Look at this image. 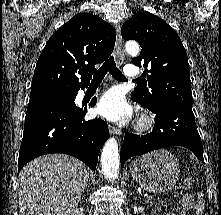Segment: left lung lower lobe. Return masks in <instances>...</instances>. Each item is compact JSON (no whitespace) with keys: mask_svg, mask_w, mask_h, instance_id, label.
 I'll list each match as a JSON object with an SVG mask.
<instances>
[{"mask_svg":"<svg viewBox=\"0 0 221 215\" xmlns=\"http://www.w3.org/2000/svg\"><path fill=\"white\" fill-rule=\"evenodd\" d=\"M149 110L156 114V125L151 133L143 136L125 134L120 153L122 166L131 156L169 146L186 147L204 162L202 142L192 110L177 107Z\"/></svg>","mask_w":221,"mask_h":215,"instance_id":"obj_1","label":"left lung lower lobe"}]
</instances>
